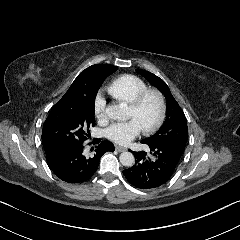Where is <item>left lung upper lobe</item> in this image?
<instances>
[{
	"label": "left lung upper lobe",
	"instance_id": "left-lung-upper-lobe-1",
	"mask_svg": "<svg viewBox=\"0 0 240 240\" xmlns=\"http://www.w3.org/2000/svg\"><path fill=\"white\" fill-rule=\"evenodd\" d=\"M140 75L155 86L166 98V120L161 128L153 136L144 139L141 143L150 146L172 148L180 153L184 152L188 127L185 115L172 96L167 84L158 76L145 70H136Z\"/></svg>",
	"mask_w": 240,
	"mask_h": 240
}]
</instances>
